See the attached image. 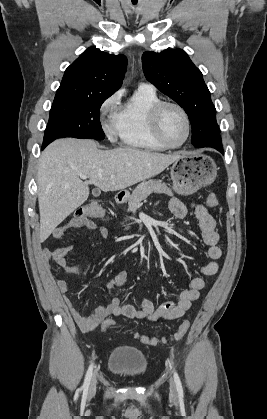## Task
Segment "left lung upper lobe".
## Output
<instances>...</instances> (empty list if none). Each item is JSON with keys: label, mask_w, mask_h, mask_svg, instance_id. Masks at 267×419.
<instances>
[{"label": "left lung upper lobe", "mask_w": 267, "mask_h": 419, "mask_svg": "<svg viewBox=\"0 0 267 419\" xmlns=\"http://www.w3.org/2000/svg\"><path fill=\"white\" fill-rule=\"evenodd\" d=\"M142 65L145 77L162 93L177 102L187 113L192 125L191 143L201 147L210 134L221 146L220 130L216 122V109L201 71L181 49L160 53L144 52Z\"/></svg>", "instance_id": "5c2ea615"}]
</instances>
